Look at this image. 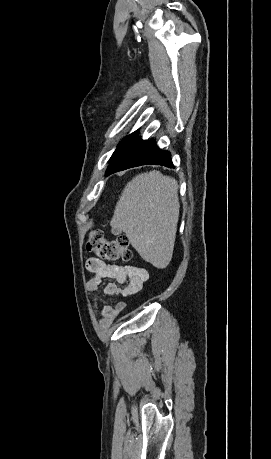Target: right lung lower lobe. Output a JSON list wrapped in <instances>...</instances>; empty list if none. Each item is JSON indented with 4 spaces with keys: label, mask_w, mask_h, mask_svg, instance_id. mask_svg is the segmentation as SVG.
I'll list each match as a JSON object with an SVG mask.
<instances>
[{
    "label": "right lung lower lobe",
    "mask_w": 271,
    "mask_h": 459,
    "mask_svg": "<svg viewBox=\"0 0 271 459\" xmlns=\"http://www.w3.org/2000/svg\"><path fill=\"white\" fill-rule=\"evenodd\" d=\"M147 164L174 167L168 151L160 150L154 140L136 137L110 162L106 175Z\"/></svg>",
    "instance_id": "right-lung-lower-lobe-1"
}]
</instances>
